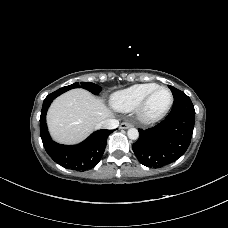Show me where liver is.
<instances>
[{"instance_id":"1","label":"liver","mask_w":228,"mask_h":228,"mask_svg":"<svg viewBox=\"0 0 228 228\" xmlns=\"http://www.w3.org/2000/svg\"><path fill=\"white\" fill-rule=\"evenodd\" d=\"M112 116L101 99L84 89H72L51 104L47 124L55 141L70 145L83 141L99 122Z\"/></svg>"}]
</instances>
